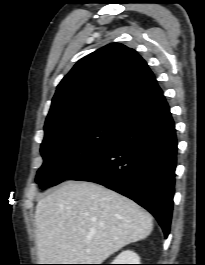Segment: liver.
<instances>
[{
	"label": "liver",
	"instance_id": "liver-1",
	"mask_svg": "<svg viewBox=\"0 0 205 265\" xmlns=\"http://www.w3.org/2000/svg\"><path fill=\"white\" fill-rule=\"evenodd\" d=\"M35 225L42 264H101L153 229L151 215L129 198L74 181L38 201Z\"/></svg>",
	"mask_w": 205,
	"mask_h": 265
}]
</instances>
